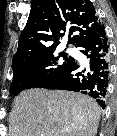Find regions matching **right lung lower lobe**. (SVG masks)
Returning <instances> with one entry per match:
<instances>
[{"label": "right lung lower lobe", "mask_w": 117, "mask_h": 136, "mask_svg": "<svg viewBox=\"0 0 117 136\" xmlns=\"http://www.w3.org/2000/svg\"><path fill=\"white\" fill-rule=\"evenodd\" d=\"M88 58L87 63L72 60L57 74L38 87L61 89L87 94L105 107V96L109 83L108 39L104 26L88 35L77 46Z\"/></svg>", "instance_id": "98d812e1"}]
</instances>
